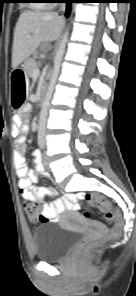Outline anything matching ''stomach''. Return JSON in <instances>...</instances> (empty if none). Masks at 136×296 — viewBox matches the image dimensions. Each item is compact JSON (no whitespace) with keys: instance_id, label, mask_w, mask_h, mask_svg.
<instances>
[{"instance_id":"0dacf381","label":"stomach","mask_w":136,"mask_h":296,"mask_svg":"<svg viewBox=\"0 0 136 296\" xmlns=\"http://www.w3.org/2000/svg\"><path fill=\"white\" fill-rule=\"evenodd\" d=\"M25 74L26 69H12V84H26ZM25 90H28V85H11L10 97L12 98L11 108L13 111H20L25 101H29Z\"/></svg>"}]
</instances>
